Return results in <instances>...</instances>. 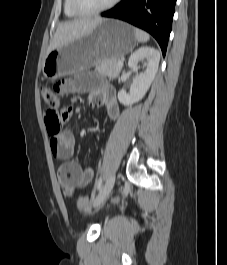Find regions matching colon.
I'll return each instance as SVG.
<instances>
[{"instance_id":"colon-1","label":"colon","mask_w":227,"mask_h":265,"mask_svg":"<svg viewBox=\"0 0 227 265\" xmlns=\"http://www.w3.org/2000/svg\"><path fill=\"white\" fill-rule=\"evenodd\" d=\"M41 95L44 102L48 105V110L45 114V124L47 127V131L50 136L56 135L60 132L62 123L65 122L71 115L70 112H62V107L69 106H61L59 98L56 92L47 87L41 88ZM116 201L119 199L116 198ZM90 205V199L88 197H82L77 201V207L79 209H86Z\"/></svg>"}]
</instances>
